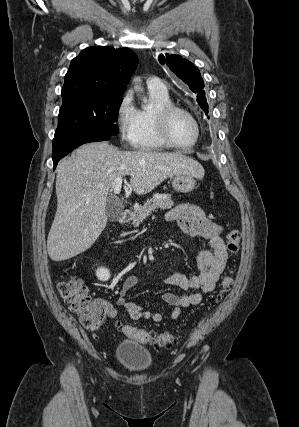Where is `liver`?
Segmentation results:
<instances>
[{"instance_id":"obj_1","label":"liver","mask_w":299,"mask_h":427,"mask_svg":"<svg viewBox=\"0 0 299 427\" xmlns=\"http://www.w3.org/2000/svg\"><path fill=\"white\" fill-rule=\"evenodd\" d=\"M175 174L203 178L204 169L177 152L120 151L108 142L80 146L57 167V211L47 238L49 257L64 261L93 245L107 225V196L117 178L130 175V189L144 195Z\"/></svg>"}]
</instances>
